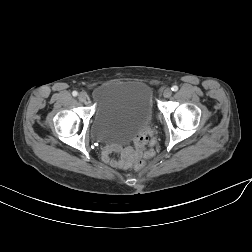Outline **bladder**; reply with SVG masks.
I'll list each match as a JSON object with an SVG mask.
<instances>
[{
    "mask_svg": "<svg viewBox=\"0 0 252 252\" xmlns=\"http://www.w3.org/2000/svg\"><path fill=\"white\" fill-rule=\"evenodd\" d=\"M95 112L91 124L101 144L128 142L153 120L151 93L141 81H107L93 90Z\"/></svg>",
    "mask_w": 252,
    "mask_h": 252,
    "instance_id": "1",
    "label": "bladder"
}]
</instances>
